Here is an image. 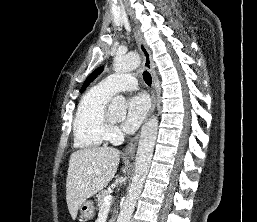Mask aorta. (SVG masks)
<instances>
[{"label": "aorta", "mask_w": 257, "mask_h": 222, "mask_svg": "<svg viewBox=\"0 0 257 222\" xmlns=\"http://www.w3.org/2000/svg\"><path fill=\"white\" fill-rule=\"evenodd\" d=\"M140 64V57L135 52L128 54L117 53L113 68L116 72H129L137 68ZM112 111L124 112L126 110V100L122 96L115 97L109 105ZM158 118L152 116L142 127L138 149L135 159V170L127 197L121 206L117 222H130L137 199L143 189L145 178L149 172L154 145L157 137Z\"/></svg>", "instance_id": "762f6f07"}]
</instances>
